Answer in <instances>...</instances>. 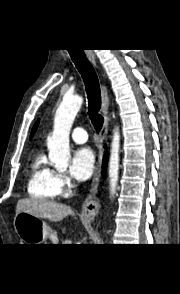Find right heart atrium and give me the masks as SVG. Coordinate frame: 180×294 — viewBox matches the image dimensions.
I'll list each match as a JSON object with an SVG mask.
<instances>
[{"mask_svg":"<svg viewBox=\"0 0 180 294\" xmlns=\"http://www.w3.org/2000/svg\"><path fill=\"white\" fill-rule=\"evenodd\" d=\"M55 182L58 188V195H65L71 188V178L66 173L56 172Z\"/></svg>","mask_w":180,"mask_h":294,"instance_id":"obj_1","label":"right heart atrium"}]
</instances>
